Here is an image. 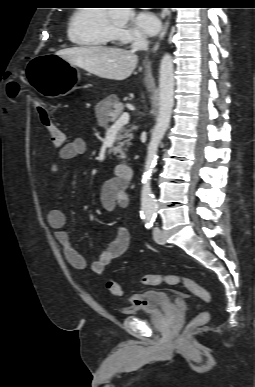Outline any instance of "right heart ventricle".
I'll use <instances>...</instances> for the list:
<instances>
[{
  "label": "right heart ventricle",
  "instance_id": "right-heart-ventricle-1",
  "mask_svg": "<svg viewBox=\"0 0 255 387\" xmlns=\"http://www.w3.org/2000/svg\"><path fill=\"white\" fill-rule=\"evenodd\" d=\"M114 29L106 9L82 7L71 14L67 35L69 40L78 46L105 47L114 42Z\"/></svg>",
  "mask_w": 255,
  "mask_h": 387
}]
</instances>
